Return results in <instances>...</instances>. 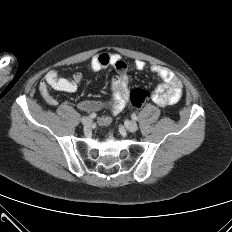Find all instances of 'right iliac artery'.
<instances>
[{
  "label": "right iliac artery",
  "instance_id": "82829eb1",
  "mask_svg": "<svg viewBox=\"0 0 232 232\" xmlns=\"http://www.w3.org/2000/svg\"><path fill=\"white\" fill-rule=\"evenodd\" d=\"M89 117L93 119V118L96 117V114H95V113H91V114L89 115Z\"/></svg>",
  "mask_w": 232,
  "mask_h": 232
}]
</instances>
